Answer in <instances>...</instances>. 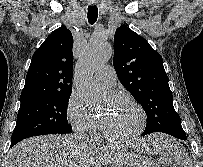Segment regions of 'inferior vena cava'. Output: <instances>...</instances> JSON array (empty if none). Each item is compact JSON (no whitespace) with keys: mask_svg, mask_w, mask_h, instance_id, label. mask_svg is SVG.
I'll list each match as a JSON object with an SVG mask.
<instances>
[{"mask_svg":"<svg viewBox=\"0 0 203 167\" xmlns=\"http://www.w3.org/2000/svg\"><path fill=\"white\" fill-rule=\"evenodd\" d=\"M74 138L77 141L81 142V143H90L89 137L86 134L82 133V132H79L78 134H75Z\"/></svg>","mask_w":203,"mask_h":167,"instance_id":"602c4592","label":"inferior vena cava"}]
</instances>
